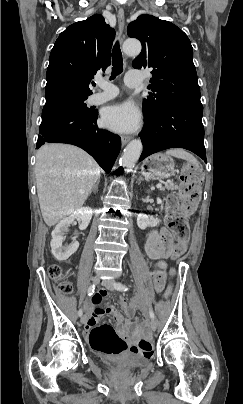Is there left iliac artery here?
I'll use <instances>...</instances> for the list:
<instances>
[{"instance_id": "obj_1", "label": "left iliac artery", "mask_w": 243, "mask_h": 404, "mask_svg": "<svg viewBox=\"0 0 243 404\" xmlns=\"http://www.w3.org/2000/svg\"><path fill=\"white\" fill-rule=\"evenodd\" d=\"M115 288L118 291H128V287L126 285L122 284V283H119V282L115 283ZM149 315H150V318L154 320L155 315H154V312H153L152 309H149Z\"/></svg>"}]
</instances>
